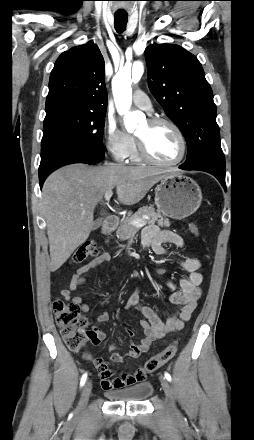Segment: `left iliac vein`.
I'll use <instances>...</instances> for the list:
<instances>
[{
  "instance_id": "obj_1",
  "label": "left iliac vein",
  "mask_w": 254,
  "mask_h": 440,
  "mask_svg": "<svg viewBox=\"0 0 254 440\" xmlns=\"http://www.w3.org/2000/svg\"><path fill=\"white\" fill-rule=\"evenodd\" d=\"M160 381H161V385L163 387V390L169 400V405H170L171 410L173 412H177L178 410L172 400V387H171L170 383L163 377L160 378Z\"/></svg>"
}]
</instances>
